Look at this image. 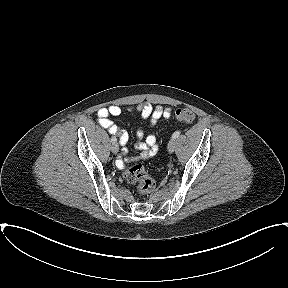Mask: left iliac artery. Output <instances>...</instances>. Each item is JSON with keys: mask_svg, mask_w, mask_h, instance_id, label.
<instances>
[{"mask_svg": "<svg viewBox=\"0 0 288 288\" xmlns=\"http://www.w3.org/2000/svg\"><path fill=\"white\" fill-rule=\"evenodd\" d=\"M180 135V131H176L173 133L172 138L176 139Z\"/></svg>", "mask_w": 288, "mask_h": 288, "instance_id": "left-iliac-artery-1", "label": "left iliac artery"}]
</instances>
